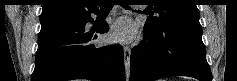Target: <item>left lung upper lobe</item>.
<instances>
[{
  "mask_svg": "<svg viewBox=\"0 0 237 81\" xmlns=\"http://www.w3.org/2000/svg\"><path fill=\"white\" fill-rule=\"evenodd\" d=\"M149 5L158 16L147 18L144 29L150 32L157 31L168 24L199 23V10L195 0H152Z\"/></svg>",
  "mask_w": 237,
  "mask_h": 81,
  "instance_id": "obj_1",
  "label": "left lung upper lobe"
}]
</instances>
